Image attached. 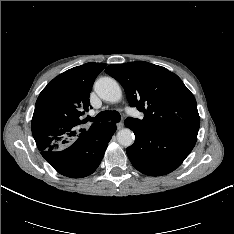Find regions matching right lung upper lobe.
<instances>
[{
  "instance_id": "right-lung-upper-lobe-1",
  "label": "right lung upper lobe",
  "mask_w": 234,
  "mask_h": 234,
  "mask_svg": "<svg viewBox=\"0 0 234 234\" xmlns=\"http://www.w3.org/2000/svg\"><path fill=\"white\" fill-rule=\"evenodd\" d=\"M105 67V63L74 67L55 77L42 90L31 122L40 151L66 148L88 131L80 126L84 123L81 116L88 111L94 80Z\"/></svg>"
}]
</instances>
